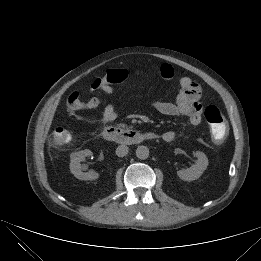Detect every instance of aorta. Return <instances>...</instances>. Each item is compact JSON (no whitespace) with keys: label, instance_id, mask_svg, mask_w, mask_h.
I'll return each mask as SVG.
<instances>
[{"label":"aorta","instance_id":"obj_1","mask_svg":"<svg viewBox=\"0 0 261 261\" xmlns=\"http://www.w3.org/2000/svg\"><path fill=\"white\" fill-rule=\"evenodd\" d=\"M136 156L141 160H145L149 157V149L146 146H138L136 149Z\"/></svg>","mask_w":261,"mask_h":261}]
</instances>
